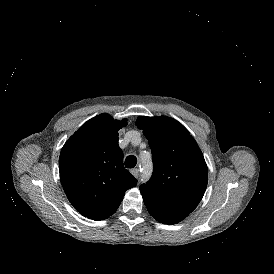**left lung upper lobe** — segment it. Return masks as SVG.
I'll return each instance as SVG.
<instances>
[{
    "label": "left lung upper lobe",
    "instance_id": "left-lung-upper-lobe-1",
    "mask_svg": "<svg viewBox=\"0 0 274 274\" xmlns=\"http://www.w3.org/2000/svg\"><path fill=\"white\" fill-rule=\"evenodd\" d=\"M136 124L149 140L154 165L151 179L140 186L141 194L191 213L208 180L207 165L196 141L170 117H138Z\"/></svg>",
    "mask_w": 274,
    "mask_h": 274
}]
</instances>
